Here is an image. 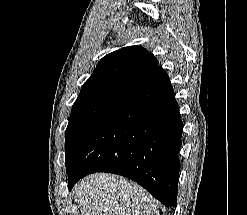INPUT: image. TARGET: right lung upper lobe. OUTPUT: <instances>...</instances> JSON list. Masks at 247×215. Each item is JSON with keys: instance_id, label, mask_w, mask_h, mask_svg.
<instances>
[{"instance_id": "obj_1", "label": "right lung upper lobe", "mask_w": 247, "mask_h": 215, "mask_svg": "<svg viewBox=\"0 0 247 215\" xmlns=\"http://www.w3.org/2000/svg\"><path fill=\"white\" fill-rule=\"evenodd\" d=\"M158 61L141 46H129L103 57L90 78L83 84L81 92L110 89H131L146 78Z\"/></svg>"}]
</instances>
